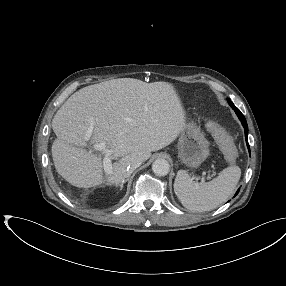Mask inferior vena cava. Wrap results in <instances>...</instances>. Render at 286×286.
Returning <instances> with one entry per match:
<instances>
[{
	"label": "inferior vena cava",
	"instance_id": "inferior-vena-cava-1",
	"mask_svg": "<svg viewBox=\"0 0 286 286\" xmlns=\"http://www.w3.org/2000/svg\"><path fill=\"white\" fill-rule=\"evenodd\" d=\"M142 164V160L139 158L132 159L129 162V166L127 168V174L130 175L136 168H138Z\"/></svg>",
	"mask_w": 286,
	"mask_h": 286
}]
</instances>
